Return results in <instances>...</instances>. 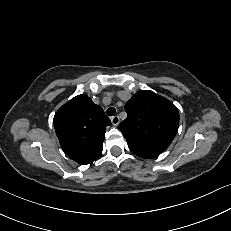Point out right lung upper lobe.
Returning a JSON list of instances; mask_svg holds the SVG:
<instances>
[{
  "label": "right lung upper lobe",
  "mask_w": 231,
  "mask_h": 231,
  "mask_svg": "<svg viewBox=\"0 0 231 231\" xmlns=\"http://www.w3.org/2000/svg\"><path fill=\"white\" fill-rule=\"evenodd\" d=\"M109 118L86 95L64 104L54 116V127L63 151L79 164L86 165L102 153Z\"/></svg>",
  "instance_id": "right-lung-upper-lobe-1"
}]
</instances>
